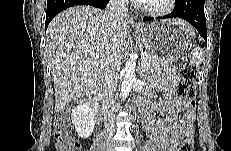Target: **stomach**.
Listing matches in <instances>:
<instances>
[{"instance_id": "1", "label": "stomach", "mask_w": 231, "mask_h": 151, "mask_svg": "<svg viewBox=\"0 0 231 151\" xmlns=\"http://www.w3.org/2000/svg\"><path fill=\"white\" fill-rule=\"evenodd\" d=\"M136 36L149 54L169 62L184 56L191 45L186 31L174 20L154 21L137 30Z\"/></svg>"}]
</instances>
